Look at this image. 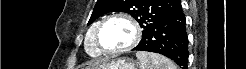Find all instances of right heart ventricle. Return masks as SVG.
<instances>
[{"instance_id": "e07e8e85", "label": "right heart ventricle", "mask_w": 246, "mask_h": 69, "mask_svg": "<svg viewBox=\"0 0 246 69\" xmlns=\"http://www.w3.org/2000/svg\"><path fill=\"white\" fill-rule=\"evenodd\" d=\"M102 20L96 21L95 23L92 24V26L88 29L86 38H85V48L86 51L91 55V56H98L101 54V51L99 50L97 43L95 41V30L98 24Z\"/></svg>"}]
</instances>
